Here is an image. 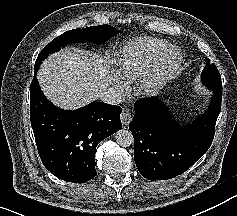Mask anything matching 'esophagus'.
Here are the masks:
<instances>
[{"instance_id": "1", "label": "esophagus", "mask_w": 237, "mask_h": 216, "mask_svg": "<svg viewBox=\"0 0 237 216\" xmlns=\"http://www.w3.org/2000/svg\"><path fill=\"white\" fill-rule=\"evenodd\" d=\"M120 119L122 122L123 126L128 125V123L131 121L132 119V114L130 112V110L128 108H124L121 115H120Z\"/></svg>"}]
</instances>
